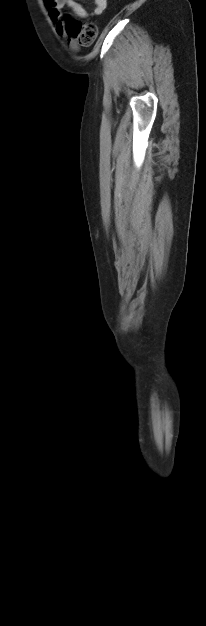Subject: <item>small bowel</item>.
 I'll list each match as a JSON object with an SVG mask.
<instances>
[{
  "instance_id": "c3829d8e",
  "label": "small bowel",
  "mask_w": 206,
  "mask_h": 626,
  "mask_svg": "<svg viewBox=\"0 0 206 626\" xmlns=\"http://www.w3.org/2000/svg\"><path fill=\"white\" fill-rule=\"evenodd\" d=\"M93 3V14L100 15L104 12L107 6V0H91ZM44 3L48 9L50 18L57 22V31L67 37L69 45L73 50H78L79 45L77 39L69 35L67 32V22L74 16L79 18L89 17V13L76 1V0H44ZM71 9V13L63 15L62 9L64 7Z\"/></svg>"
}]
</instances>
